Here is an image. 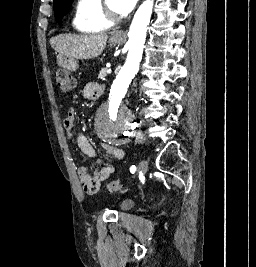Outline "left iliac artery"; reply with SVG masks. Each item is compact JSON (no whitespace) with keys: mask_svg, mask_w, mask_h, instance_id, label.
<instances>
[{"mask_svg":"<svg viewBox=\"0 0 256 267\" xmlns=\"http://www.w3.org/2000/svg\"><path fill=\"white\" fill-rule=\"evenodd\" d=\"M136 171V167L134 166V165H132L131 167H130V172L131 173H134Z\"/></svg>","mask_w":256,"mask_h":267,"instance_id":"obj_1","label":"left iliac artery"}]
</instances>
